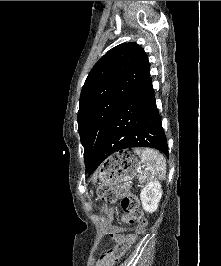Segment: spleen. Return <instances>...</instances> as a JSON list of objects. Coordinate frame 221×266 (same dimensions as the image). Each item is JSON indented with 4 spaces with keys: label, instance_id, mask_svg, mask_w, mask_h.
<instances>
[{
    "label": "spleen",
    "instance_id": "obj_1",
    "mask_svg": "<svg viewBox=\"0 0 221 266\" xmlns=\"http://www.w3.org/2000/svg\"><path fill=\"white\" fill-rule=\"evenodd\" d=\"M136 153L140 156L143 165L144 173L140 178V183L151 180L154 176L161 174L164 175L166 172V164L164 157L153 149H135Z\"/></svg>",
    "mask_w": 221,
    "mask_h": 266
}]
</instances>
